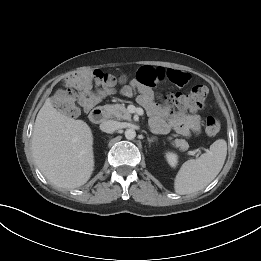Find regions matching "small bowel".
<instances>
[{"label":"small bowel","instance_id":"small-bowel-1","mask_svg":"<svg viewBox=\"0 0 261 261\" xmlns=\"http://www.w3.org/2000/svg\"><path fill=\"white\" fill-rule=\"evenodd\" d=\"M190 80L186 72L163 67L144 66L137 71L136 80L121 88L122 95L131 97L137 94V101L141 104L151 118V124L158 133H167L174 130L183 137L199 134L202 129L201 118L197 113L173 112L154 101L151 88L160 82L169 81L175 85L183 86ZM66 83L79 94L81 107L88 111L101 99L115 93L113 88L103 93H94L91 87V73L83 72L67 78Z\"/></svg>","mask_w":261,"mask_h":261}]
</instances>
